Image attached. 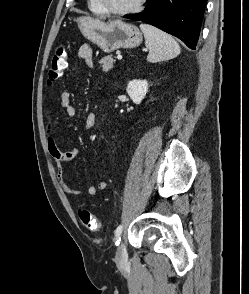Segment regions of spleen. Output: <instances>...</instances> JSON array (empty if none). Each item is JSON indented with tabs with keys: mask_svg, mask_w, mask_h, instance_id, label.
Returning <instances> with one entry per match:
<instances>
[{
	"mask_svg": "<svg viewBox=\"0 0 249 294\" xmlns=\"http://www.w3.org/2000/svg\"><path fill=\"white\" fill-rule=\"evenodd\" d=\"M140 29L144 33L145 45L149 50V62L169 60L180 54V47L171 35L145 23L140 24Z\"/></svg>",
	"mask_w": 249,
	"mask_h": 294,
	"instance_id": "obj_1",
	"label": "spleen"
}]
</instances>
